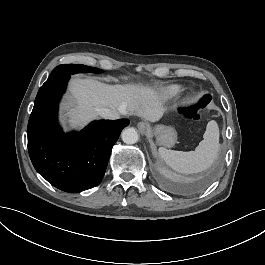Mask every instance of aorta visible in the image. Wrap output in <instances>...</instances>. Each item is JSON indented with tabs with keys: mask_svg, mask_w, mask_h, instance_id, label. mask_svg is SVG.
I'll list each match as a JSON object with an SVG mask.
<instances>
[{
	"mask_svg": "<svg viewBox=\"0 0 265 265\" xmlns=\"http://www.w3.org/2000/svg\"><path fill=\"white\" fill-rule=\"evenodd\" d=\"M121 136L126 144H135L139 138L137 131L132 127L123 130Z\"/></svg>",
	"mask_w": 265,
	"mask_h": 265,
	"instance_id": "obj_1",
	"label": "aorta"
}]
</instances>
